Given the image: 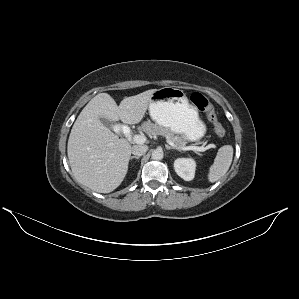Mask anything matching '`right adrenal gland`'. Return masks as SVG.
Segmentation results:
<instances>
[{"label": "right adrenal gland", "instance_id": "right-adrenal-gland-1", "mask_svg": "<svg viewBox=\"0 0 299 299\" xmlns=\"http://www.w3.org/2000/svg\"><path fill=\"white\" fill-rule=\"evenodd\" d=\"M140 158V156H132L131 158H130V160H133V159H139Z\"/></svg>", "mask_w": 299, "mask_h": 299}]
</instances>
